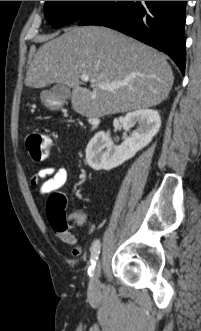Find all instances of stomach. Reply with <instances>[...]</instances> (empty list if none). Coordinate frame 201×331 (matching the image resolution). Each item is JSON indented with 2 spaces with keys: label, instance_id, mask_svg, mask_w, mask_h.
<instances>
[{
  "label": "stomach",
  "instance_id": "0dacf381",
  "mask_svg": "<svg viewBox=\"0 0 201 331\" xmlns=\"http://www.w3.org/2000/svg\"><path fill=\"white\" fill-rule=\"evenodd\" d=\"M41 99L44 102V104L48 107H56V102L54 100H52L49 96H47L46 93H42L41 94Z\"/></svg>",
  "mask_w": 201,
  "mask_h": 331
}]
</instances>
